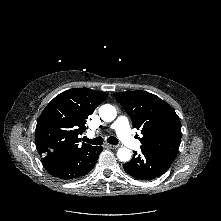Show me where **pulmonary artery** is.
Masks as SVG:
<instances>
[{"label": "pulmonary artery", "instance_id": "pulmonary-artery-1", "mask_svg": "<svg viewBox=\"0 0 221 221\" xmlns=\"http://www.w3.org/2000/svg\"><path fill=\"white\" fill-rule=\"evenodd\" d=\"M112 128L126 146L130 148H138L140 146V142L131 135L129 123L125 117H118L112 125ZM94 135V132L88 133L89 137H93Z\"/></svg>", "mask_w": 221, "mask_h": 221}]
</instances>
